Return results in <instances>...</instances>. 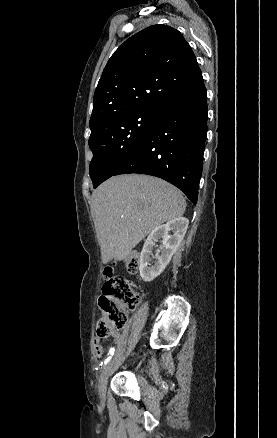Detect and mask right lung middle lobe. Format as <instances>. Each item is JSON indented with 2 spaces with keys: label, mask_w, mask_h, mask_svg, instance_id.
<instances>
[{
  "label": "right lung middle lobe",
  "mask_w": 277,
  "mask_h": 438,
  "mask_svg": "<svg viewBox=\"0 0 277 438\" xmlns=\"http://www.w3.org/2000/svg\"><path fill=\"white\" fill-rule=\"evenodd\" d=\"M158 108L113 116L90 126L89 146L93 152L90 177L96 188L113 176L144 141Z\"/></svg>",
  "instance_id": "obj_1"
}]
</instances>
